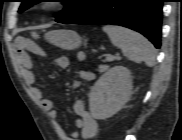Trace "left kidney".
<instances>
[{
	"label": "left kidney",
	"mask_w": 182,
	"mask_h": 140,
	"mask_svg": "<svg viewBox=\"0 0 182 140\" xmlns=\"http://www.w3.org/2000/svg\"><path fill=\"white\" fill-rule=\"evenodd\" d=\"M131 72L115 66L104 73L91 88L89 110L93 118L106 119L120 111L132 92Z\"/></svg>",
	"instance_id": "left-kidney-1"
}]
</instances>
